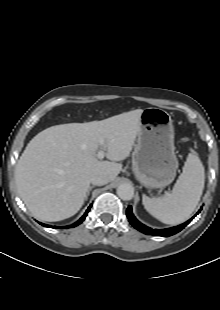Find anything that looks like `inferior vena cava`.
<instances>
[{"instance_id": "inferior-vena-cava-1", "label": "inferior vena cava", "mask_w": 220, "mask_h": 310, "mask_svg": "<svg viewBox=\"0 0 220 310\" xmlns=\"http://www.w3.org/2000/svg\"><path fill=\"white\" fill-rule=\"evenodd\" d=\"M109 182V178L104 174H95L91 177V183L93 185L102 186Z\"/></svg>"}]
</instances>
